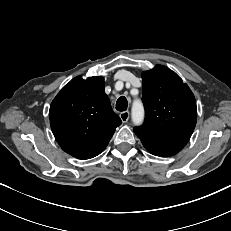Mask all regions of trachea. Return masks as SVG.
Wrapping results in <instances>:
<instances>
[{
  "mask_svg": "<svg viewBox=\"0 0 231 231\" xmlns=\"http://www.w3.org/2000/svg\"><path fill=\"white\" fill-rule=\"evenodd\" d=\"M127 99L125 96H121L118 98L116 102V109L120 112L127 110Z\"/></svg>",
  "mask_w": 231,
  "mask_h": 231,
  "instance_id": "trachea-1",
  "label": "trachea"
}]
</instances>
